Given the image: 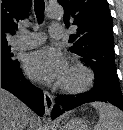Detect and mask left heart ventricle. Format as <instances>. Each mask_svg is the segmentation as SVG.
I'll return each mask as SVG.
<instances>
[{"label": "left heart ventricle", "mask_w": 123, "mask_h": 130, "mask_svg": "<svg viewBox=\"0 0 123 130\" xmlns=\"http://www.w3.org/2000/svg\"><path fill=\"white\" fill-rule=\"evenodd\" d=\"M81 74L78 72H71L68 71L66 72L63 80L67 82H78L81 79Z\"/></svg>", "instance_id": "b2bd125f"}]
</instances>
